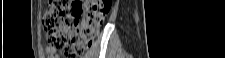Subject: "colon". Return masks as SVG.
<instances>
[{
    "instance_id": "obj_1",
    "label": "colon",
    "mask_w": 225,
    "mask_h": 58,
    "mask_svg": "<svg viewBox=\"0 0 225 58\" xmlns=\"http://www.w3.org/2000/svg\"><path fill=\"white\" fill-rule=\"evenodd\" d=\"M110 10L109 0H50L43 16L49 51L67 57L83 54L95 41Z\"/></svg>"
}]
</instances>
